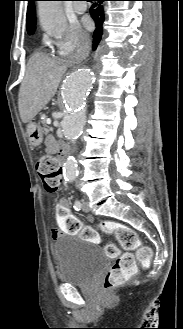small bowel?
Listing matches in <instances>:
<instances>
[{"label":"small bowel","instance_id":"1","mask_svg":"<svg viewBox=\"0 0 183 329\" xmlns=\"http://www.w3.org/2000/svg\"><path fill=\"white\" fill-rule=\"evenodd\" d=\"M51 146L52 142L49 141ZM53 215H57V223L60 229H53L51 237L57 238L61 232H66L67 236H82L83 242H98V230L96 225H81L80 220H70L75 218V213L70 212L67 200L62 199L57 202L56 208L52 210Z\"/></svg>","mask_w":183,"mask_h":329}]
</instances>
